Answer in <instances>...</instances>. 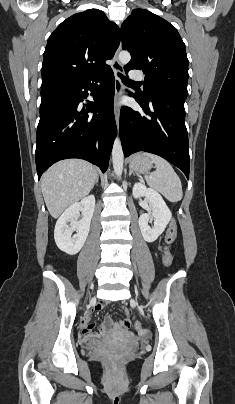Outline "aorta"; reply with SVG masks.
<instances>
[{
    "instance_id": "aorta-1",
    "label": "aorta",
    "mask_w": 235,
    "mask_h": 404,
    "mask_svg": "<svg viewBox=\"0 0 235 404\" xmlns=\"http://www.w3.org/2000/svg\"><path fill=\"white\" fill-rule=\"evenodd\" d=\"M131 59L130 53L122 51L119 53V61L122 65L129 63ZM112 161L115 174L120 178L123 171L124 154L120 139L117 137L112 148Z\"/></svg>"
}]
</instances>
